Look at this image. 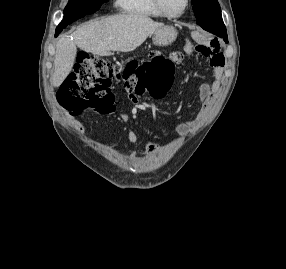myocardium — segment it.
<instances>
[{
	"label": "myocardium",
	"mask_w": 286,
	"mask_h": 269,
	"mask_svg": "<svg viewBox=\"0 0 286 269\" xmlns=\"http://www.w3.org/2000/svg\"><path fill=\"white\" fill-rule=\"evenodd\" d=\"M153 2H154L156 9L161 13L162 16L167 17V18H171V19L182 17L186 13V11L190 5V0H185L184 7L181 10V12H179L177 14H173V13H170L169 11H167V9L165 8V6L163 4V0H153Z\"/></svg>",
	"instance_id": "f54148a6"
}]
</instances>
